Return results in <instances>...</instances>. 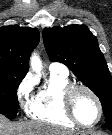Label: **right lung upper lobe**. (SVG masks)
I'll list each match as a JSON object with an SVG mask.
<instances>
[{
	"mask_svg": "<svg viewBox=\"0 0 112 135\" xmlns=\"http://www.w3.org/2000/svg\"><path fill=\"white\" fill-rule=\"evenodd\" d=\"M39 42L36 28L18 25L0 28V75L25 74L29 56Z\"/></svg>",
	"mask_w": 112,
	"mask_h": 135,
	"instance_id": "1",
	"label": "right lung upper lobe"
}]
</instances>
